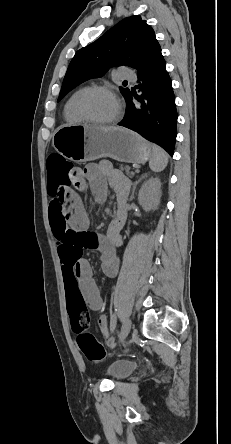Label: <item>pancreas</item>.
Here are the masks:
<instances>
[{
  "instance_id": "obj_1",
  "label": "pancreas",
  "mask_w": 231,
  "mask_h": 444,
  "mask_svg": "<svg viewBox=\"0 0 231 444\" xmlns=\"http://www.w3.org/2000/svg\"><path fill=\"white\" fill-rule=\"evenodd\" d=\"M119 168L121 171H125L129 177H133L135 175V173L131 171L129 166H124L123 164H120Z\"/></svg>"
}]
</instances>
